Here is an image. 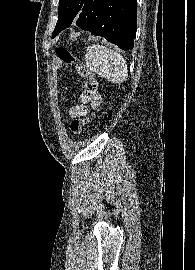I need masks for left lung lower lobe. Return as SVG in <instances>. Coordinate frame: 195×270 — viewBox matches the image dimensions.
I'll list each match as a JSON object with an SVG mask.
<instances>
[{
    "label": "left lung lower lobe",
    "mask_w": 195,
    "mask_h": 270,
    "mask_svg": "<svg viewBox=\"0 0 195 270\" xmlns=\"http://www.w3.org/2000/svg\"><path fill=\"white\" fill-rule=\"evenodd\" d=\"M136 14V0H86L74 22L126 51L134 46Z\"/></svg>",
    "instance_id": "0a47b994"
}]
</instances>
